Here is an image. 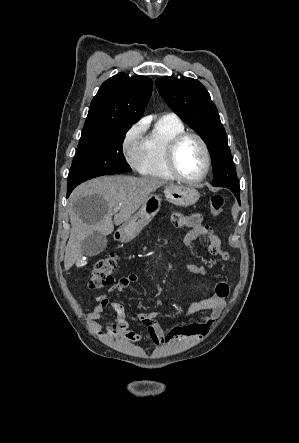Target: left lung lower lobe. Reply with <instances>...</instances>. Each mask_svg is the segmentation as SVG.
I'll return each mask as SVG.
<instances>
[{
    "mask_svg": "<svg viewBox=\"0 0 299 443\" xmlns=\"http://www.w3.org/2000/svg\"><path fill=\"white\" fill-rule=\"evenodd\" d=\"M225 188H228V187H225ZM228 189L234 193V195L236 196V198L240 204V189H235V188H228Z\"/></svg>",
    "mask_w": 299,
    "mask_h": 443,
    "instance_id": "0a47b994",
    "label": "left lung lower lobe"
}]
</instances>
